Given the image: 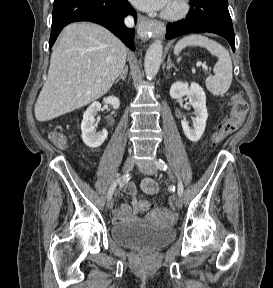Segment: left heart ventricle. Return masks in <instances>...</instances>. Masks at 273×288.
Returning <instances> with one entry per match:
<instances>
[{
  "mask_svg": "<svg viewBox=\"0 0 273 288\" xmlns=\"http://www.w3.org/2000/svg\"><path fill=\"white\" fill-rule=\"evenodd\" d=\"M166 9H168V10L177 9V3L175 2V0H171L170 3L168 4V6L166 7Z\"/></svg>",
  "mask_w": 273,
  "mask_h": 288,
  "instance_id": "b2bd125f",
  "label": "left heart ventricle"
}]
</instances>
